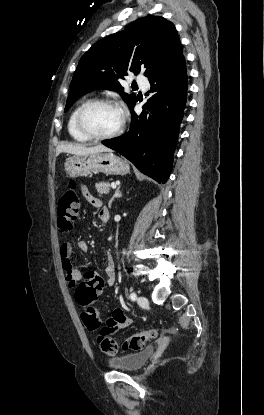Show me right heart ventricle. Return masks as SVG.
Instances as JSON below:
<instances>
[{"mask_svg":"<svg viewBox=\"0 0 264 415\" xmlns=\"http://www.w3.org/2000/svg\"><path fill=\"white\" fill-rule=\"evenodd\" d=\"M93 99H91V98H85V99H83L82 101H80L76 106H75V108L72 110V112L70 113V115H69V118H68V122H67V130H68V133H69V135L74 139V140H76L77 142H79V143H86V142H88V141H90V139H88L87 137H85L84 135H82L79 131H78V129H77V127H76V123H75V121H76V115H77V113H78V111H79V109L84 105V104H86V103H88V102H90V101H92Z\"/></svg>","mask_w":264,"mask_h":415,"instance_id":"right-heart-ventricle-1","label":"right heart ventricle"}]
</instances>
